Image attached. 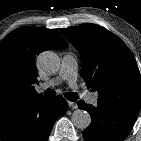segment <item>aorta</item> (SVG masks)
<instances>
[{"instance_id": "762f6f07", "label": "aorta", "mask_w": 141, "mask_h": 141, "mask_svg": "<svg viewBox=\"0 0 141 141\" xmlns=\"http://www.w3.org/2000/svg\"><path fill=\"white\" fill-rule=\"evenodd\" d=\"M37 66L43 72L53 74L57 72L60 67V59L55 52L44 51L37 57ZM71 121L76 128L84 130L89 127L91 116L87 111L77 109L72 113Z\"/></svg>"}]
</instances>
